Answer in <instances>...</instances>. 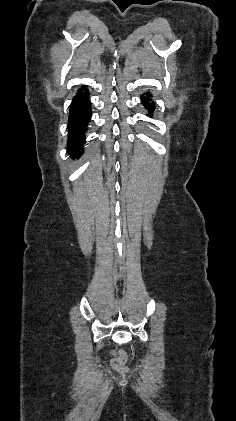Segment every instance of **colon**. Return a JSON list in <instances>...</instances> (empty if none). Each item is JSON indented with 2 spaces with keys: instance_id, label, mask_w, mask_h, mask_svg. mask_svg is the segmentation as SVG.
Listing matches in <instances>:
<instances>
[{
  "instance_id": "colon-1",
  "label": "colon",
  "mask_w": 236,
  "mask_h": 421,
  "mask_svg": "<svg viewBox=\"0 0 236 421\" xmlns=\"http://www.w3.org/2000/svg\"><path fill=\"white\" fill-rule=\"evenodd\" d=\"M126 361L127 356L124 352H113L112 366L115 370L124 372L126 370Z\"/></svg>"
}]
</instances>
